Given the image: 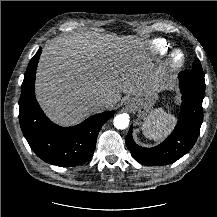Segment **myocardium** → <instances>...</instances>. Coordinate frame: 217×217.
<instances>
[{"mask_svg": "<svg viewBox=\"0 0 217 217\" xmlns=\"http://www.w3.org/2000/svg\"><path fill=\"white\" fill-rule=\"evenodd\" d=\"M186 63V57L184 53L180 50H175L170 53L168 58V68L171 70H178L184 66Z\"/></svg>", "mask_w": 217, "mask_h": 217, "instance_id": "myocardium-1", "label": "myocardium"}]
</instances>
